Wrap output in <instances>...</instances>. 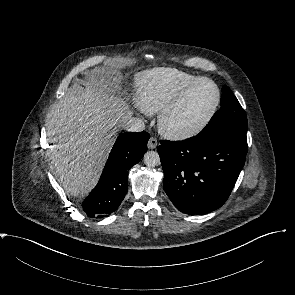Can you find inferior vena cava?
I'll list each match as a JSON object with an SVG mask.
<instances>
[{"instance_id": "602c4592", "label": "inferior vena cava", "mask_w": 295, "mask_h": 295, "mask_svg": "<svg viewBox=\"0 0 295 295\" xmlns=\"http://www.w3.org/2000/svg\"><path fill=\"white\" fill-rule=\"evenodd\" d=\"M121 127L129 132H141L145 129V124L138 117H130L122 122Z\"/></svg>"}]
</instances>
